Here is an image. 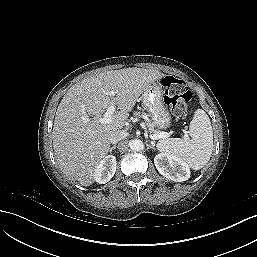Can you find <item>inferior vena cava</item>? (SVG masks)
Wrapping results in <instances>:
<instances>
[{"instance_id": "inferior-vena-cava-1", "label": "inferior vena cava", "mask_w": 257, "mask_h": 257, "mask_svg": "<svg viewBox=\"0 0 257 257\" xmlns=\"http://www.w3.org/2000/svg\"><path fill=\"white\" fill-rule=\"evenodd\" d=\"M125 137H126V132L120 130V131H117V132H115L114 134L111 135L110 142L112 144H116L117 142L121 141Z\"/></svg>"}]
</instances>
